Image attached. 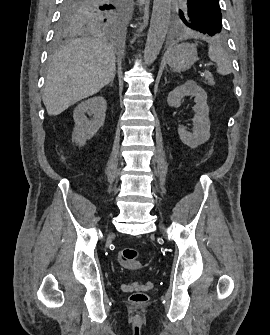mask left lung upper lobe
Segmentation results:
<instances>
[{
	"label": "left lung upper lobe",
	"instance_id": "obj_1",
	"mask_svg": "<svg viewBox=\"0 0 270 335\" xmlns=\"http://www.w3.org/2000/svg\"><path fill=\"white\" fill-rule=\"evenodd\" d=\"M178 14L182 23L191 30L209 36L222 31V15L219 0H184Z\"/></svg>",
	"mask_w": 270,
	"mask_h": 335
}]
</instances>
